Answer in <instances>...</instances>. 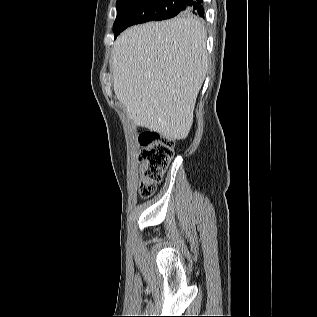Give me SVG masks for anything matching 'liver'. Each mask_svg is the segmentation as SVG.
Instances as JSON below:
<instances>
[{
    "label": "liver",
    "instance_id": "obj_1",
    "mask_svg": "<svg viewBox=\"0 0 317 317\" xmlns=\"http://www.w3.org/2000/svg\"><path fill=\"white\" fill-rule=\"evenodd\" d=\"M206 30L201 20L176 17L136 25L116 39L110 66L117 99L138 126L185 139L206 77Z\"/></svg>",
    "mask_w": 317,
    "mask_h": 317
}]
</instances>
